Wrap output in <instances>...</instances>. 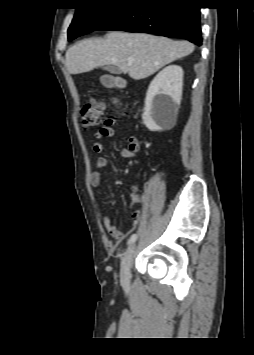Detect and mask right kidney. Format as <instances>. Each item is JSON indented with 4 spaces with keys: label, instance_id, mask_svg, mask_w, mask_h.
Returning a JSON list of instances; mask_svg holds the SVG:
<instances>
[{
    "label": "right kidney",
    "instance_id": "obj_1",
    "mask_svg": "<svg viewBox=\"0 0 254 355\" xmlns=\"http://www.w3.org/2000/svg\"><path fill=\"white\" fill-rule=\"evenodd\" d=\"M183 69L170 65L161 70L150 83L146 93L145 126L150 131H162L174 125L180 106Z\"/></svg>",
    "mask_w": 254,
    "mask_h": 355
}]
</instances>
